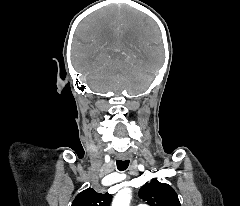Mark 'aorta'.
Returning a JSON list of instances; mask_svg holds the SVG:
<instances>
[{
  "instance_id": "1",
  "label": "aorta",
  "mask_w": 240,
  "mask_h": 206,
  "mask_svg": "<svg viewBox=\"0 0 240 206\" xmlns=\"http://www.w3.org/2000/svg\"><path fill=\"white\" fill-rule=\"evenodd\" d=\"M131 197V189L124 188L115 195L112 206H129Z\"/></svg>"
}]
</instances>
